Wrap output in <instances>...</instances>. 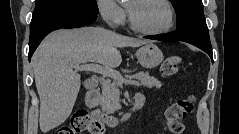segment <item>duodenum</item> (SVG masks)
Masks as SVG:
<instances>
[{"instance_id":"1","label":"duodenum","mask_w":239,"mask_h":134,"mask_svg":"<svg viewBox=\"0 0 239 134\" xmlns=\"http://www.w3.org/2000/svg\"><path fill=\"white\" fill-rule=\"evenodd\" d=\"M144 96L142 94H136L129 111L121 117H107L99 109V92L97 89H90L86 94L87 106L91 109L92 117L98 121H101L109 127L119 126L130 119V117L136 113L144 104Z\"/></svg>"}]
</instances>
